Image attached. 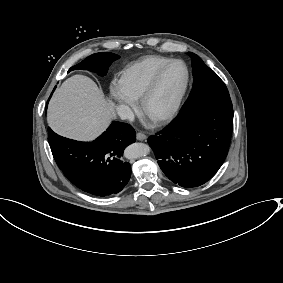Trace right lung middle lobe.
Wrapping results in <instances>:
<instances>
[{
	"label": "right lung middle lobe",
	"mask_w": 283,
	"mask_h": 283,
	"mask_svg": "<svg viewBox=\"0 0 283 283\" xmlns=\"http://www.w3.org/2000/svg\"><path fill=\"white\" fill-rule=\"evenodd\" d=\"M119 59V56L109 52H100L90 55L84 59L79 64L71 67L69 71L81 69V70H90L96 72L100 76H105L108 67L115 60Z\"/></svg>",
	"instance_id": "right-lung-middle-lobe-1"
}]
</instances>
